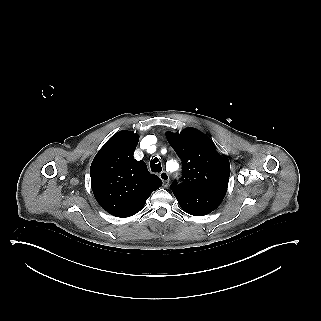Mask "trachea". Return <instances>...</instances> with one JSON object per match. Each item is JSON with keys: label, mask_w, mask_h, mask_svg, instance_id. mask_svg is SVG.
Instances as JSON below:
<instances>
[{"label": "trachea", "mask_w": 321, "mask_h": 321, "mask_svg": "<svg viewBox=\"0 0 321 321\" xmlns=\"http://www.w3.org/2000/svg\"><path fill=\"white\" fill-rule=\"evenodd\" d=\"M150 167L154 173H159L162 170L161 163L157 157L150 161Z\"/></svg>", "instance_id": "trachea-1"}]
</instances>
